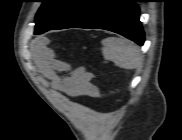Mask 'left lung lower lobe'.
<instances>
[{
    "label": "left lung lower lobe",
    "instance_id": "1",
    "mask_svg": "<svg viewBox=\"0 0 182 140\" xmlns=\"http://www.w3.org/2000/svg\"><path fill=\"white\" fill-rule=\"evenodd\" d=\"M136 0H105L69 28H97L119 33L138 45L144 43Z\"/></svg>",
    "mask_w": 182,
    "mask_h": 140
}]
</instances>
